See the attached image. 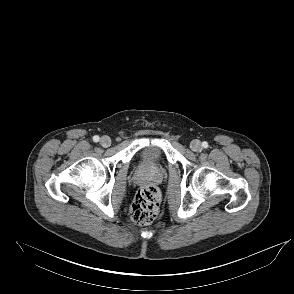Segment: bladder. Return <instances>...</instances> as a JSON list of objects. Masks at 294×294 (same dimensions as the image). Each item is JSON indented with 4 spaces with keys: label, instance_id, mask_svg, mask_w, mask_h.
I'll return each instance as SVG.
<instances>
[{
    "label": "bladder",
    "instance_id": "obj_1",
    "mask_svg": "<svg viewBox=\"0 0 294 294\" xmlns=\"http://www.w3.org/2000/svg\"><path fill=\"white\" fill-rule=\"evenodd\" d=\"M161 156V153L158 148L156 147H149L144 150L143 152V159L146 161L156 160L159 159Z\"/></svg>",
    "mask_w": 294,
    "mask_h": 294
}]
</instances>
